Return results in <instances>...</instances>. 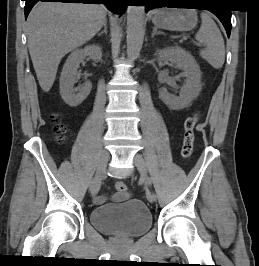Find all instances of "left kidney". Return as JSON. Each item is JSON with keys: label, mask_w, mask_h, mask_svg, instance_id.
Instances as JSON below:
<instances>
[{"label": "left kidney", "mask_w": 259, "mask_h": 266, "mask_svg": "<svg viewBox=\"0 0 259 266\" xmlns=\"http://www.w3.org/2000/svg\"><path fill=\"white\" fill-rule=\"evenodd\" d=\"M162 60H168L176 67L184 71L186 77L185 85L179 96L170 94L166 88L159 90V98L171 109L180 110L198 97L201 91V71L195 58L185 49L179 46L167 47L158 51Z\"/></svg>", "instance_id": "left-kidney-1"}]
</instances>
